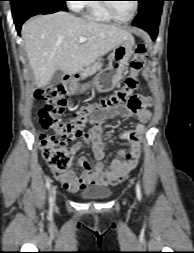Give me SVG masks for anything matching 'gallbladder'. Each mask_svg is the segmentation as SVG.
Listing matches in <instances>:
<instances>
[{
	"label": "gallbladder",
	"mask_w": 194,
	"mask_h": 253,
	"mask_svg": "<svg viewBox=\"0 0 194 253\" xmlns=\"http://www.w3.org/2000/svg\"><path fill=\"white\" fill-rule=\"evenodd\" d=\"M62 78H63V72H62L61 70L58 69V70L53 74V76H52V78H51V80H50V82H49V85H50V86H56V85H58L59 83H61Z\"/></svg>",
	"instance_id": "1"
}]
</instances>
